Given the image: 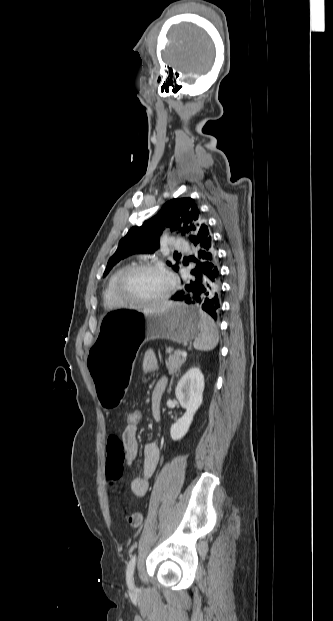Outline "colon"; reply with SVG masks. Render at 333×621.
I'll list each match as a JSON object with an SVG mask.
<instances>
[{"instance_id":"1","label":"colon","mask_w":333,"mask_h":621,"mask_svg":"<svg viewBox=\"0 0 333 621\" xmlns=\"http://www.w3.org/2000/svg\"><path fill=\"white\" fill-rule=\"evenodd\" d=\"M142 413L139 409L130 408L126 413L127 424L138 425L141 421ZM128 522L133 527H138L143 522V517L138 512H130L128 514Z\"/></svg>"}]
</instances>
